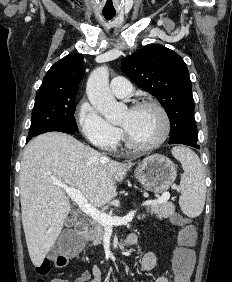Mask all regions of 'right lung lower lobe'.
Instances as JSON below:
<instances>
[{"label":"right lung lower lobe","instance_id":"1","mask_svg":"<svg viewBox=\"0 0 232 282\" xmlns=\"http://www.w3.org/2000/svg\"><path fill=\"white\" fill-rule=\"evenodd\" d=\"M49 131H59V132H64V133H69V134L74 133V131L67 129V128H64V127H60V126L54 127L52 129H50ZM49 131H47V132H49ZM29 140L27 139V141H29Z\"/></svg>","mask_w":232,"mask_h":282}]
</instances>
